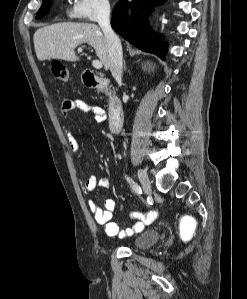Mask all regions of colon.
<instances>
[{
	"label": "colon",
	"instance_id": "5ec220e1",
	"mask_svg": "<svg viewBox=\"0 0 247 299\" xmlns=\"http://www.w3.org/2000/svg\"><path fill=\"white\" fill-rule=\"evenodd\" d=\"M51 72L53 76L61 81L68 80V71L66 67L60 62H53L51 65ZM182 234L188 237L194 230V222L190 218H183L181 222Z\"/></svg>",
	"mask_w": 247,
	"mask_h": 299
}]
</instances>
